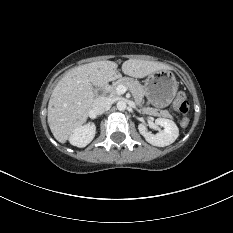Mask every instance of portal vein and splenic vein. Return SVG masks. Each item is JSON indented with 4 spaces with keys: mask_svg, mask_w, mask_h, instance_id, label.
Instances as JSON below:
<instances>
[{
    "mask_svg": "<svg viewBox=\"0 0 233 233\" xmlns=\"http://www.w3.org/2000/svg\"><path fill=\"white\" fill-rule=\"evenodd\" d=\"M127 91V87L124 86V85H119L117 88H116V92L117 94H124L125 92Z\"/></svg>",
    "mask_w": 233,
    "mask_h": 233,
    "instance_id": "18ae733b",
    "label": "portal vein and splenic vein"
}]
</instances>
